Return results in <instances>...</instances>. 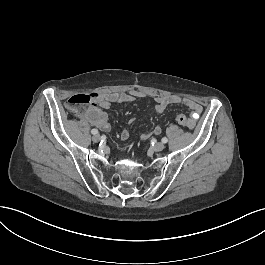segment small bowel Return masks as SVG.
Returning a JSON list of instances; mask_svg holds the SVG:
<instances>
[{"instance_id":"1","label":"small bowel","mask_w":265,"mask_h":265,"mask_svg":"<svg viewBox=\"0 0 265 265\" xmlns=\"http://www.w3.org/2000/svg\"><path fill=\"white\" fill-rule=\"evenodd\" d=\"M146 97V94L142 92H123V91H115L102 93L98 95V98L95 102L88 107L81 109L76 112L77 116L90 123L93 126L98 128H106L108 125L107 114L105 110L109 109L112 105L120 104V103H128L133 102L139 98ZM154 112L156 114H161L165 111V109L169 105L179 104L183 105L187 109L190 110V114L187 115L189 117L190 126L188 128L192 129L195 127L201 113L202 106L197 101L190 98H183L177 95H158L154 97ZM154 134L158 135L161 133V127H154ZM120 138L123 141L128 140L129 131L127 129H123L120 133Z\"/></svg>"}]
</instances>
